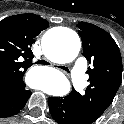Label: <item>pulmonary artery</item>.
<instances>
[{
  "label": "pulmonary artery",
  "mask_w": 124,
  "mask_h": 124,
  "mask_svg": "<svg viewBox=\"0 0 124 124\" xmlns=\"http://www.w3.org/2000/svg\"><path fill=\"white\" fill-rule=\"evenodd\" d=\"M87 61L84 58H79L72 70H71V79L74 88L77 91L82 90L85 87V71H86Z\"/></svg>",
  "instance_id": "pulmonary-artery-1"
}]
</instances>
